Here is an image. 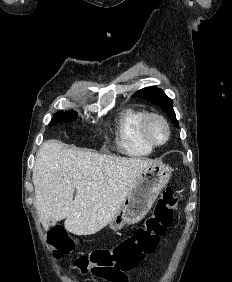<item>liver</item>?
Returning <instances> with one entry per match:
<instances>
[{
  "label": "liver",
  "mask_w": 232,
  "mask_h": 282,
  "mask_svg": "<svg viewBox=\"0 0 232 282\" xmlns=\"http://www.w3.org/2000/svg\"><path fill=\"white\" fill-rule=\"evenodd\" d=\"M153 164L140 158L68 149L58 140L44 142L32 176L44 229L52 220L65 219V229L74 235L99 232L113 219L140 172Z\"/></svg>",
  "instance_id": "1"
}]
</instances>
